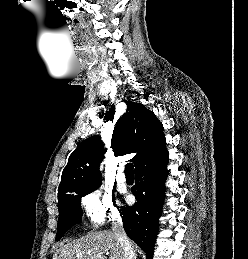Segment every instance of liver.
Instances as JSON below:
<instances>
[{
  "mask_svg": "<svg viewBox=\"0 0 248 259\" xmlns=\"http://www.w3.org/2000/svg\"><path fill=\"white\" fill-rule=\"evenodd\" d=\"M124 259L118 238L111 231L88 233L60 246L53 259Z\"/></svg>",
  "mask_w": 248,
  "mask_h": 259,
  "instance_id": "obj_1",
  "label": "liver"
}]
</instances>
